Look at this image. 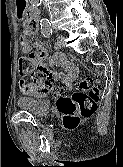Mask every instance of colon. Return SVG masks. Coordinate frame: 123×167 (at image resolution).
<instances>
[{"label": "colon", "mask_w": 123, "mask_h": 167, "mask_svg": "<svg viewBox=\"0 0 123 167\" xmlns=\"http://www.w3.org/2000/svg\"><path fill=\"white\" fill-rule=\"evenodd\" d=\"M58 62L64 61V56L58 54ZM20 73L32 68L29 57L20 56L18 60ZM32 82L43 94L57 97V108L63 116L67 128L76 127L82 119L92 116L97 108L100 87L93 78L83 77L75 80L76 90L68 93L65 86L52 82L53 75L43 68H36L31 72Z\"/></svg>", "instance_id": "1"}]
</instances>
